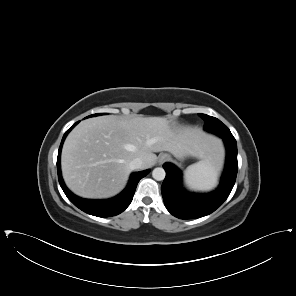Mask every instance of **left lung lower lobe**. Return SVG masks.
Returning <instances> with one entry per match:
<instances>
[{
	"label": "left lung lower lobe",
	"instance_id": "left-lung-lower-lobe-1",
	"mask_svg": "<svg viewBox=\"0 0 296 296\" xmlns=\"http://www.w3.org/2000/svg\"><path fill=\"white\" fill-rule=\"evenodd\" d=\"M227 150L225 170L217 190L208 194L189 193L181 188V172L171 163L163 165L166 177L161 191L167 210L180 219L206 216L220 207L229 196L238 171L237 143L233 136L222 137Z\"/></svg>",
	"mask_w": 296,
	"mask_h": 296
}]
</instances>
